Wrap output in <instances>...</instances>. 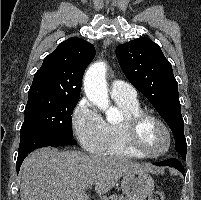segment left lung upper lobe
Instances as JSON below:
<instances>
[{
    "mask_svg": "<svg viewBox=\"0 0 201 200\" xmlns=\"http://www.w3.org/2000/svg\"><path fill=\"white\" fill-rule=\"evenodd\" d=\"M116 57L127 79L150 101L175 138V149L186 160L187 143L172 65L159 45L141 37L116 48Z\"/></svg>",
    "mask_w": 201,
    "mask_h": 200,
    "instance_id": "1",
    "label": "left lung upper lobe"
}]
</instances>
